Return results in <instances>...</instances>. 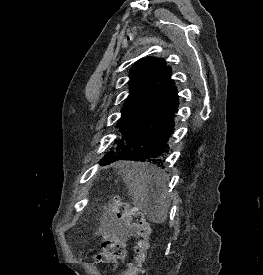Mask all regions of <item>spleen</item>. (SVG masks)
Segmentation results:
<instances>
[{
  "mask_svg": "<svg viewBox=\"0 0 263 275\" xmlns=\"http://www.w3.org/2000/svg\"><path fill=\"white\" fill-rule=\"evenodd\" d=\"M119 169L140 208L152 222L163 223L169 206L165 174L138 162H122Z\"/></svg>",
  "mask_w": 263,
  "mask_h": 275,
  "instance_id": "3e777b00",
  "label": "spleen"
}]
</instances>
